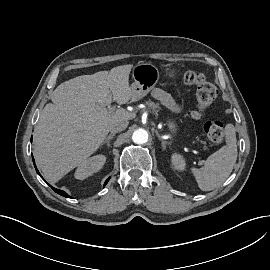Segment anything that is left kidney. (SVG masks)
Segmentation results:
<instances>
[{
    "label": "left kidney",
    "mask_w": 270,
    "mask_h": 270,
    "mask_svg": "<svg viewBox=\"0 0 270 270\" xmlns=\"http://www.w3.org/2000/svg\"><path fill=\"white\" fill-rule=\"evenodd\" d=\"M171 163L177 171H184L186 169V161L181 154L173 153L171 155Z\"/></svg>",
    "instance_id": "5707ae66"
}]
</instances>
